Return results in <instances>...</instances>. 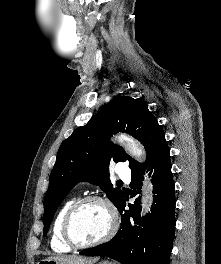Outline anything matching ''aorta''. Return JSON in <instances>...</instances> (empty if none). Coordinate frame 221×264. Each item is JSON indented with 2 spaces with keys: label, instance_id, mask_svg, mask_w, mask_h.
<instances>
[{
  "label": "aorta",
  "instance_id": "aorta-1",
  "mask_svg": "<svg viewBox=\"0 0 221 264\" xmlns=\"http://www.w3.org/2000/svg\"><path fill=\"white\" fill-rule=\"evenodd\" d=\"M122 144L125 148V150L135 159L141 160V157L144 154L143 148L140 146L139 143L136 141H133L129 138H125L122 141ZM151 185H148L145 191V196L142 199V207L143 210L147 211L149 209V206L151 205Z\"/></svg>",
  "mask_w": 221,
  "mask_h": 264
}]
</instances>
